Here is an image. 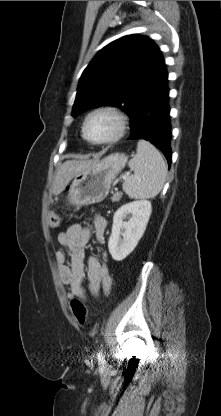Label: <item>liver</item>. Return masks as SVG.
<instances>
[{"instance_id": "1", "label": "liver", "mask_w": 221, "mask_h": 416, "mask_svg": "<svg viewBox=\"0 0 221 416\" xmlns=\"http://www.w3.org/2000/svg\"><path fill=\"white\" fill-rule=\"evenodd\" d=\"M98 162V159L93 160H67L57 170L52 192L54 195H59L68 185L71 179L78 173L89 169L92 165Z\"/></svg>"}]
</instances>
